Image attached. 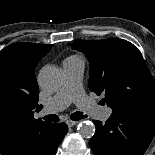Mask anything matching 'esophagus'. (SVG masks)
I'll list each match as a JSON object with an SVG mask.
<instances>
[{
  "label": "esophagus",
  "instance_id": "34e87169",
  "mask_svg": "<svg viewBox=\"0 0 155 155\" xmlns=\"http://www.w3.org/2000/svg\"><path fill=\"white\" fill-rule=\"evenodd\" d=\"M66 124H67L69 127H73L74 125H76V124H77V122H76V121H73V120L68 119V120H66Z\"/></svg>",
  "mask_w": 155,
  "mask_h": 155
}]
</instances>
